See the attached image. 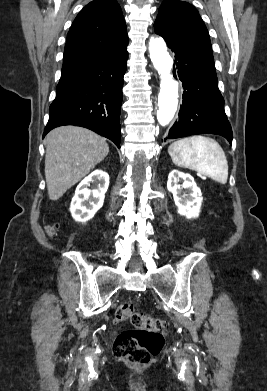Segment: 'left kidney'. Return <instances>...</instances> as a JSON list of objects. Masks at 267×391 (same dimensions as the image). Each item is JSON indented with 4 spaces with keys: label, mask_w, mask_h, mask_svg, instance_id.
I'll use <instances>...</instances> for the list:
<instances>
[{
    "label": "left kidney",
    "mask_w": 267,
    "mask_h": 391,
    "mask_svg": "<svg viewBox=\"0 0 267 391\" xmlns=\"http://www.w3.org/2000/svg\"><path fill=\"white\" fill-rule=\"evenodd\" d=\"M183 182L182 184H179ZM167 189L173 194L178 213L187 219L199 216L201 191L191 175L173 170L168 176Z\"/></svg>",
    "instance_id": "1"
}]
</instances>
